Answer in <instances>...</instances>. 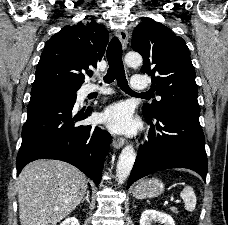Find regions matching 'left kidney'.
<instances>
[{
  "label": "left kidney",
  "mask_w": 228,
  "mask_h": 225,
  "mask_svg": "<svg viewBox=\"0 0 228 225\" xmlns=\"http://www.w3.org/2000/svg\"><path fill=\"white\" fill-rule=\"evenodd\" d=\"M153 221H155V223H162V225H175L172 217L166 215V213L153 211V209L143 211L140 217V225H152Z\"/></svg>",
  "instance_id": "left-kidney-1"
}]
</instances>
